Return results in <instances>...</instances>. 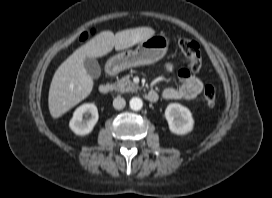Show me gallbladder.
<instances>
[{
	"mask_svg": "<svg viewBox=\"0 0 272 198\" xmlns=\"http://www.w3.org/2000/svg\"><path fill=\"white\" fill-rule=\"evenodd\" d=\"M84 67L87 71V74L94 79H97L101 75V69L96 59L86 57L84 59Z\"/></svg>",
	"mask_w": 272,
	"mask_h": 198,
	"instance_id": "obj_1",
	"label": "gallbladder"
}]
</instances>
